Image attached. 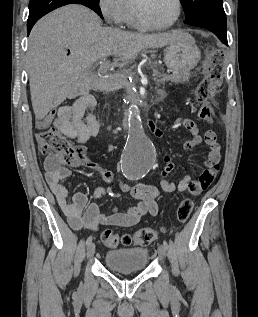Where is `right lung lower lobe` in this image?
I'll list each match as a JSON object with an SVG mask.
<instances>
[{
    "mask_svg": "<svg viewBox=\"0 0 258 317\" xmlns=\"http://www.w3.org/2000/svg\"><path fill=\"white\" fill-rule=\"evenodd\" d=\"M72 3L82 4L84 6L89 7L103 19L98 0H30L29 17L27 22V34L29 35L33 25L42 16L58 7Z\"/></svg>",
    "mask_w": 258,
    "mask_h": 317,
    "instance_id": "1",
    "label": "right lung lower lobe"
}]
</instances>
